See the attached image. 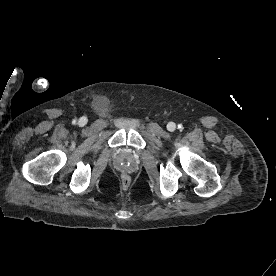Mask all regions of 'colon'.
Segmentation results:
<instances>
[{
    "mask_svg": "<svg viewBox=\"0 0 276 276\" xmlns=\"http://www.w3.org/2000/svg\"><path fill=\"white\" fill-rule=\"evenodd\" d=\"M121 185L124 189L128 188V186L130 185V178L128 175L123 174L121 176Z\"/></svg>",
    "mask_w": 276,
    "mask_h": 276,
    "instance_id": "1",
    "label": "colon"
}]
</instances>
